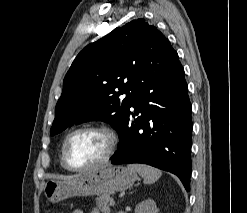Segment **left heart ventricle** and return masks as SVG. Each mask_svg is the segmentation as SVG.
<instances>
[{
  "mask_svg": "<svg viewBox=\"0 0 247 213\" xmlns=\"http://www.w3.org/2000/svg\"><path fill=\"white\" fill-rule=\"evenodd\" d=\"M108 147L107 138L99 132H80L73 135L66 148V156L74 167L92 165L103 158Z\"/></svg>",
  "mask_w": 247,
  "mask_h": 213,
  "instance_id": "b2bd125f",
  "label": "left heart ventricle"
}]
</instances>
